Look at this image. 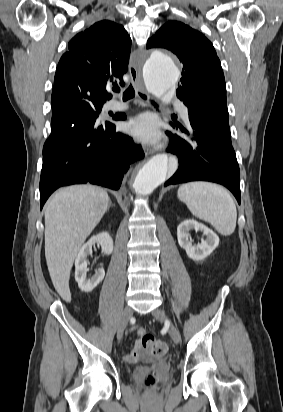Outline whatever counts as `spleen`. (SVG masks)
<instances>
[{
  "mask_svg": "<svg viewBox=\"0 0 283 412\" xmlns=\"http://www.w3.org/2000/svg\"><path fill=\"white\" fill-rule=\"evenodd\" d=\"M177 195L192 215L210 223L218 233L228 236L234 232L237 210L223 187L209 182H189L179 187Z\"/></svg>",
  "mask_w": 283,
  "mask_h": 412,
  "instance_id": "3e777b00",
  "label": "spleen"
}]
</instances>
